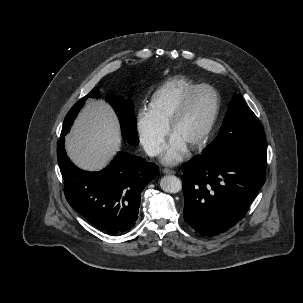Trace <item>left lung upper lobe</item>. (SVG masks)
<instances>
[{
    "label": "left lung upper lobe",
    "mask_w": 303,
    "mask_h": 303,
    "mask_svg": "<svg viewBox=\"0 0 303 303\" xmlns=\"http://www.w3.org/2000/svg\"><path fill=\"white\" fill-rule=\"evenodd\" d=\"M202 155L211 158L231 157L266 169L267 148L261 123L241 96L235 95L229 104L217 138Z\"/></svg>",
    "instance_id": "1"
}]
</instances>
